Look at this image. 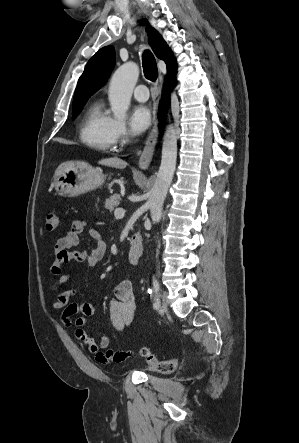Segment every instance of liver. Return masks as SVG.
Listing matches in <instances>:
<instances>
[{"mask_svg":"<svg viewBox=\"0 0 299 443\" xmlns=\"http://www.w3.org/2000/svg\"><path fill=\"white\" fill-rule=\"evenodd\" d=\"M99 164L115 168H124L126 162L118 157L105 158L99 161Z\"/></svg>","mask_w":299,"mask_h":443,"instance_id":"1","label":"liver"}]
</instances>
